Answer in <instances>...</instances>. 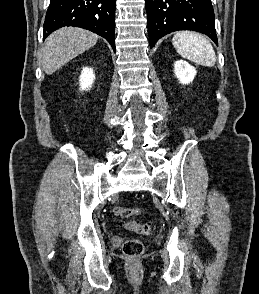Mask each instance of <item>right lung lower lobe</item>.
Wrapping results in <instances>:
<instances>
[{"label":"right lung lower lobe","mask_w":259,"mask_h":294,"mask_svg":"<svg viewBox=\"0 0 259 294\" xmlns=\"http://www.w3.org/2000/svg\"><path fill=\"white\" fill-rule=\"evenodd\" d=\"M115 0H50L43 39L63 26H77L104 37L115 51Z\"/></svg>","instance_id":"98d812e1"}]
</instances>
